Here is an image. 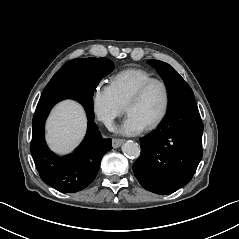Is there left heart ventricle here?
<instances>
[{
    "label": "left heart ventricle",
    "instance_id": "1",
    "mask_svg": "<svg viewBox=\"0 0 239 239\" xmlns=\"http://www.w3.org/2000/svg\"><path fill=\"white\" fill-rule=\"evenodd\" d=\"M164 104V89L160 84H154L147 90L141 100L130 106L128 113L138 117L146 127L159 117Z\"/></svg>",
    "mask_w": 239,
    "mask_h": 239
}]
</instances>
